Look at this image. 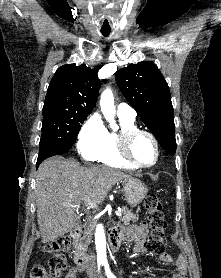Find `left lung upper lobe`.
Wrapping results in <instances>:
<instances>
[{
    "mask_svg": "<svg viewBox=\"0 0 221 278\" xmlns=\"http://www.w3.org/2000/svg\"><path fill=\"white\" fill-rule=\"evenodd\" d=\"M117 84L159 144L175 154L174 112L170 91L153 62L130 64L115 73Z\"/></svg>",
    "mask_w": 221,
    "mask_h": 278,
    "instance_id": "1",
    "label": "left lung upper lobe"
}]
</instances>
